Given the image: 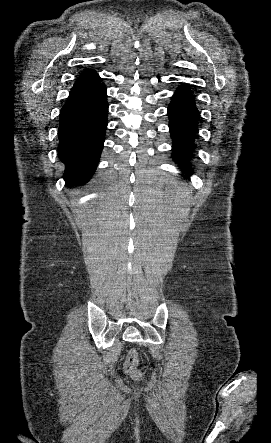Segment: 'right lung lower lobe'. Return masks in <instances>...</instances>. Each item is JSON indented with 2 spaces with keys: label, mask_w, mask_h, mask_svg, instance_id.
I'll return each mask as SVG.
<instances>
[{
  "label": "right lung lower lobe",
  "mask_w": 271,
  "mask_h": 443,
  "mask_svg": "<svg viewBox=\"0 0 271 443\" xmlns=\"http://www.w3.org/2000/svg\"><path fill=\"white\" fill-rule=\"evenodd\" d=\"M101 81L76 82L60 111L58 155L68 187L91 178L103 149L108 103Z\"/></svg>",
  "instance_id": "1"
}]
</instances>
